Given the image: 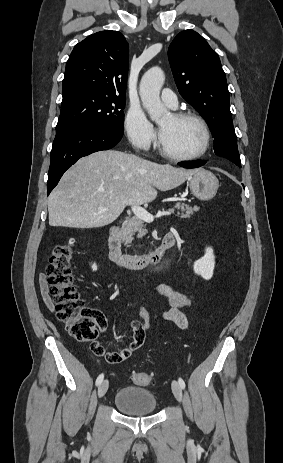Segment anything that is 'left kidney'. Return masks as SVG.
<instances>
[{
    "mask_svg": "<svg viewBox=\"0 0 283 463\" xmlns=\"http://www.w3.org/2000/svg\"><path fill=\"white\" fill-rule=\"evenodd\" d=\"M214 267L215 256L213 249L211 247H207L205 249V255L194 262V272L205 280H210L213 276Z\"/></svg>",
    "mask_w": 283,
    "mask_h": 463,
    "instance_id": "obj_1",
    "label": "left kidney"
}]
</instances>
